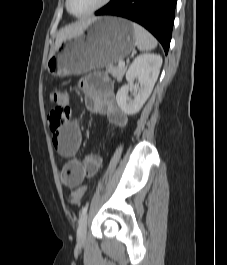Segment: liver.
Here are the masks:
<instances>
[{
    "instance_id": "liver-1",
    "label": "liver",
    "mask_w": 227,
    "mask_h": 265,
    "mask_svg": "<svg viewBox=\"0 0 227 265\" xmlns=\"http://www.w3.org/2000/svg\"><path fill=\"white\" fill-rule=\"evenodd\" d=\"M88 26L86 22H78L72 25H68L62 28L59 33L57 34L55 46L56 48L66 39L75 37L81 34L84 29Z\"/></svg>"
}]
</instances>
